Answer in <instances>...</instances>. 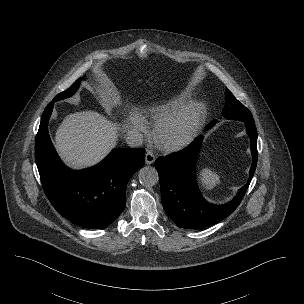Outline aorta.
<instances>
[{"instance_id": "aorta-1", "label": "aorta", "mask_w": 304, "mask_h": 304, "mask_svg": "<svg viewBox=\"0 0 304 304\" xmlns=\"http://www.w3.org/2000/svg\"><path fill=\"white\" fill-rule=\"evenodd\" d=\"M139 182L145 187H151L159 181L158 172L154 167L144 166L139 170Z\"/></svg>"}]
</instances>
